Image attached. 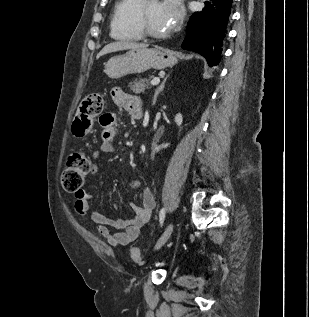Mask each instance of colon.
<instances>
[{"mask_svg": "<svg viewBox=\"0 0 309 317\" xmlns=\"http://www.w3.org/2000/svg\"><path fill=\"white\" fill-rule=\"evenodd\" d=\"M104 107L105 99L101 94L94 93L86 96L82 100L72 124L74 134L78 137L85 136L92 128L94 118L102 113ZM90 170L91 163L83 152L75 151L70 154L61 175L63 189L69 193L79 192ZM131 257L135 261H140L138 249H131Z\"/></svg>", "mask_w": 309, "mask_h": 317, "instance_id": "obj_1", "label": "colon"}]
</instances>
